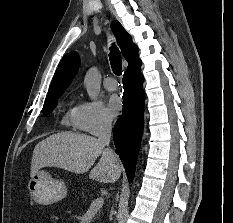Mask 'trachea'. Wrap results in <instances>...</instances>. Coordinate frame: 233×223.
<instances>
[{
	"instance_id": "3493384b",
	"label": "trachea",
	"mask_w": 233,
	"mask_h": 223,
	"mask_svg": "<svg viewBox=\"0 0 233 223\" xmlns=\"http://www.w3.org/2000/svg\"><path fill=\"white\" fill-rule=\"evenodd\" d=\"M109 59L112 71L115 73V75H120L122 69V58L120 51L115 45L110 47Z\"/></svg>"
}]
</instances>
